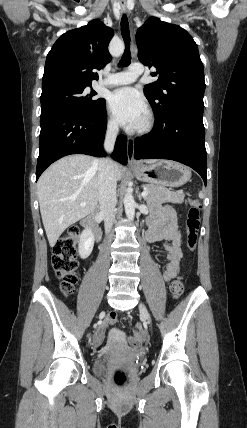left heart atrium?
I'll return each mask as SVG.
<instances>
[{
	"label": "left heart atrium",
	"mask_w": 247,
	"mask_h": 428,
	"mask_svg": "<svg viewBox=\"0 0 247 428\" xmlns=\"http://www.w3.org/2000/svg\"><path fill=\"white\" fill-rule=\"evenodd\" d=\"M109 107L117 121L130 128H140L147 118V106L142 96L132 88L112 93Z\"/></svg>",
	"instance_id": "1"
}]
</instances>
